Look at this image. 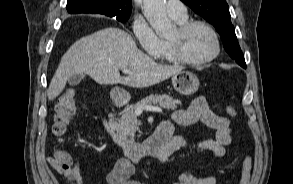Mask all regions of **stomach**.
Segmentation results:
<instances>
[{"mask_svg": "<svg viewBox=\"0 0 293 184\" xmlns=\"http://www.w3.org/2000/svg\"><path fill=\"white\" fill-rule=\"evenodd\" d=\"M172 85L175 91L181 95L189 96L198 90L200 83L197 76L192 72L181 71L172 77ZM110 95L114 100L122 101L128 96V93L119 87H115L111 90Z\"/></svg>", "mask_w": 293, "mask_h": 184, "instance_id": "obj_1", "label": "stomach"}]
</instances>
